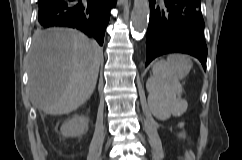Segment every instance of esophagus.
<instances>
[{"label":"esophagus","instance_id":"esophagus-1","mask_svg":"<svg viewBox=\"0 0 242 160\" xmlns=\"http://www.w3.org/2000/svg\"><path fill=\"white\" fill-rule=\"evenodd\" d=\"M126 1H128V0H118V5L122 6Z\"/></svg>","mask_w":242,"mask_h":160}]
</instances>
